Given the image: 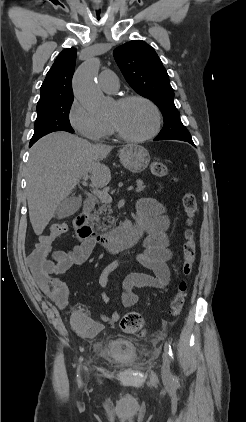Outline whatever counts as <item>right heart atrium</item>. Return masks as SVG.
I'll return each instance as SVG.
<instances>
[{"instance_id":"obj_1","label":"right heart atrium","mask_w":246,"mask_h":422,"mask_svg":"<svg viewBox=\"0 0 246 422\" xmlns=\"http://www.w3.org/2000/svg\"><path fill=\"white\" fill-rule=\"evenodd\" d=\"M68 117L71 127L80 136L88 140L100 141L111 132V127L108 123L93 117L77 100H74L71 104Z\"/></svg>"}]
</instances>
